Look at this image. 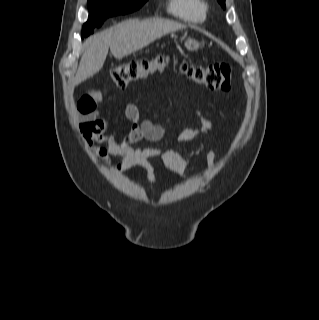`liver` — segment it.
I'll return each mask as SVG.
<instances>
[{
	"instance_id": "6515ba94",
	"label": "liver",
	"mask_w": 319,
	"mask_h": 320,
	"mask_svg": "<svg viewBox=\"0 0 319 320\" xmlns=\"http://www.w3.org/2000/svg\"><path fill=\"white\" fill-rule=\"evenodd\" d=\"M184 25L164 19L139 21L130 19L89 37L84 42L85 51L75 76V84L100 71L108 50L121 59L134 53L162 36L183 29Z\"/></svg>"
}]
</instances>
